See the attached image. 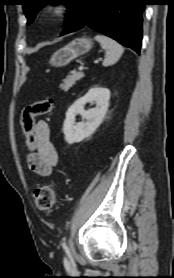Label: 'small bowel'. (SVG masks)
<instances>
[{"label":"small bowel","instance_id":"small-bowel-1","mask_svg":"<svg viewBox=\"0 0 174 278\" xmlns=\"http://www.w3.org/2000/svg\"><path fill=\"white\" fill-rule=\"evenodd\" d=\"M38 145L35 152L27 157L29 168L40 176L51 174L52 168L58 163L57 151L51 142L50 127L45 120L35 123Z\"/></svg>","mask_w":174,"mask_h":278}]
</instances>
